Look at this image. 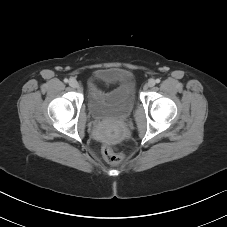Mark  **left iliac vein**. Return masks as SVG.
Wrapping results in <instances>:
<instances>
[{
  "mask_svg": "<svg viewBox=\"0 0 227 227\" xmlns=\"http://www.w3.org/2000/svg\"><path fill=\"white\" fill-rule=\"evenodd\" d=\"M156 81L154 79H150L147 83L148 87H153L155 85Z\"/></svg>",
  "mask_w": 227,
  "mask_h": 227,
  "instance_id": "left-iliac-vein-1",
  "label": "left iliac vein"
}]
</instances>
